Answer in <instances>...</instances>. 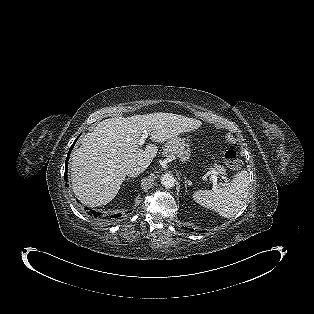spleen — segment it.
<instances>
[{
  "instance_id": "obj_1",
  "label": "spleen",
  "mask_w": 314,
  "mask_h": 314,
  "mask_svg": "<svg viewBox=\"0 0 314 314\" xmlns=\"http://www.w3.org/2000/svg\"><path fill=\"white\" fill-rule=\"evenodd\" d=\"M248 172L237 173L232 181L212 190H198L193 199L199 205L215 211L224 218L236 215L246 202L249 194Z\"/></svg>"
}]
</instances>
